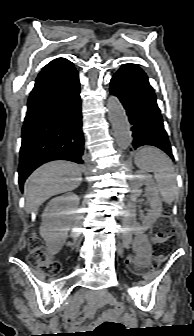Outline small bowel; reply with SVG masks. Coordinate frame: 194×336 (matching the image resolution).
Listing matches in <instances>:
<instances>
[{
    "instance_id": "small-bowel-1",
    "label": "small bowel",
    "mask_w": 194,
    "mask_h": 336,
    "mask_svg": "<svg viewBox=\"0 0 194 336\" xmlns=\"http://www.w3.org/2000/svg\"><path fill=\"white\" fill-rule=\"evenodd\" d=\"M135 247L138 251L137 263L145 266L150 258V249L147 243V238L144 234H139L136 237ZM79 299H81V297H79ZM98 300H100V302H107L111 301L112 298L110 294L104 292L98 297ZM67 321L71 325L79 327L82 324V317L79 315L70 314L69 316H67Z\"/></svg>"
}]
</instances>
